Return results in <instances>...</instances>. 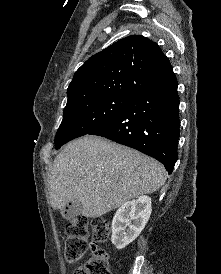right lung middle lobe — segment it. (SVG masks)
Returning a JSON list of instances; mask_svg holds the SVG:
<instances>
[{"mask_svg":"<svg viewBox=\"0 0 221 274\" xmlns=\"http://www.w3.org/2000/svg\"><path fill=\"white\" fill-rule=\"evenodd\" d=\"M132 97L104 95L67 102L63 120L56 133L55 147L99 128L114 117Z\"/></svg>","mask_w":221,"mask_h":274,"instance_id":"obj_1","label":"right lung middle lobe"}]
</instances>
